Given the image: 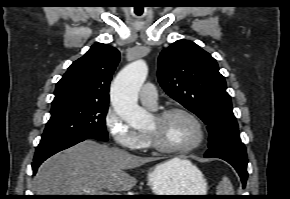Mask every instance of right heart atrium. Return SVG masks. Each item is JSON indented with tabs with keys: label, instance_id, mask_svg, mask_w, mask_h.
<instances>
[{
	"label": "right heart atrium",
	"instance_id": "1",
	"mask_svg": "<svg viewBox=\"0 0 290 199\" xmlns=\"http://www.w3.org/2000/svg\"><path fill=\"white\" fill-rule=\"evenodd\" d=\"M105 124L118 146L128 150L140 149L143 135L131 128L113 108L107 110Z\"/></svg>",
	"mask_w": 290,
	"mask_h": 199
}]
</instances>
